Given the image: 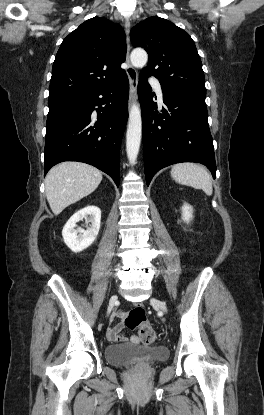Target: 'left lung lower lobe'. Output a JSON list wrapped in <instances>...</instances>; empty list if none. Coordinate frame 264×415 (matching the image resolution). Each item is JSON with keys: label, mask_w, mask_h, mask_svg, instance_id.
<instances>
[{"label": "left lung lower lobe", "mask_w": 264, "mask_h": 415, "mask_svg": "<svg viewBox=\"0 0 264 415\" xmlns=\"http://www.w3.org/2000/svg\"><path fill=\"white\" fill-rule=\"evenodd\" d=\"M147 77L140 74L138 84L147 185L160 169L180 162L204 164L215 178L206 90L161 85L164 107L158 111Z\"/></svg>", "instance_id": "0a47b994"}]
</instances>
